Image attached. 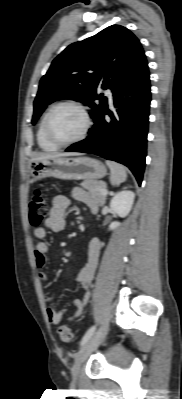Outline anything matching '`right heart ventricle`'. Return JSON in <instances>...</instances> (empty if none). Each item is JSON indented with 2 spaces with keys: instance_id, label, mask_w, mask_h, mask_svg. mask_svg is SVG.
Here are the masks:
<instances>
[{
  "instance_id": "1",
  "label": "right heart ventricle",
  "mask_w": 182,
  "mask_h": 399,
  "mask_svg": "<svg viewBox=\"0 0 182 399\" xmlns=\"http://www.w3.org/2000/svg\"><path fill=\"white\" fill-rule=\"evenodd\" d=\"M47 112L43 115V117L39 123L38 130H37V142H38L39 147L42 150L55 151L58 147L56 145H54L53 143H51L47 139V137L45 135V131H44V122H45Z\"/></svg>"
}]
</instances>
